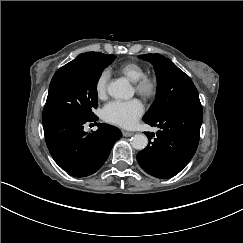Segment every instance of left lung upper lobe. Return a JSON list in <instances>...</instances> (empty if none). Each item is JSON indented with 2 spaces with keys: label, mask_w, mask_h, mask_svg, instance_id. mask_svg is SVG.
Here are the masks:
<instances>
[{
  "label": "left lung upper lobe",
  "mask_w": 243,
  "mask_h": 243,
  "mask_svg": "<svg viewBox=\"0 0 243 243\" xmlns=\"http://www.w3.org/2000/svg\"><path fill=\"white\" fill-rule=\"evenodd\" d=\"M140 57L153 64L157 76L156 99L143 117L145 123L157 120L178 105H201L198 91L192 80L170 59L156 53L140 55Z\"/></svg>",
  "instance_id": "obj_1"
}]
</instances>
